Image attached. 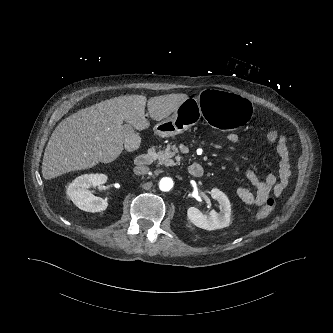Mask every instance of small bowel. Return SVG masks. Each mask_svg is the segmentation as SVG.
Instances as JSON below:
<instances>
[{
  "label": "small bowel",
  "mask_w": 333,
  "mask_h": 333,
  "mask_svg": "<svg viewBox=\"0 0 333 333\" xmlns=\"http://www.w3.org/2000/svg\"><path fill=\"white\" fill-rule=\"evenodd\" d=\"M226 139L230 144H236L239 136L235 132H229ZM274 142H276V151L279 156V173L278 175L269 174L265 179H260L251 168H246L245 177L254 190L240 187L237 191L238 197L246 205L261 206L270 195L279 197L288 186L291 170L287 139L281 135Z\"/></svg>",
  "instance_id": "1"
}]
</instances>
